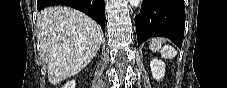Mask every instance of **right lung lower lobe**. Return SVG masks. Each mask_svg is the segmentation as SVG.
Segmentation results:
<instances>
[{
  "label": "right lung lower lobe",
  "instance_id": "right-lung-lower-lobe-1",
  "mask_svg": "<svg viewBox=\"0 0 227 88\" xmlns=\"http://www.w3.org/2000/svg\"><path fill=\"white\" fill-rule=\"evenodd\" d=\"M52 5H65L90 16L105 31V4L104 0H37V9Z\"/></svg>",
  "mask_w": 227,
  "mask_h": 88
}]
</instances>
